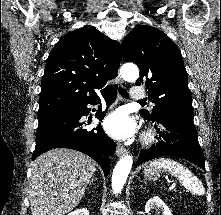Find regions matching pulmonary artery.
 <instances>
[{
    "label": "pulmonary artery",
    "instance_id": "1",
    "mask_svg": "<svg viewBox=\"0 0 221 215\" xmlns=\"http://www.w3.org/2000/svg\"><path fill=\"white\" fill-rule=\"evenodd\" d=\"M131 97L133 99H143L145 97V92L139 87H134L131 90Z\"/></svg>",
    "mask_w": 221,
    "mask_h": 215
}]
</instances>
